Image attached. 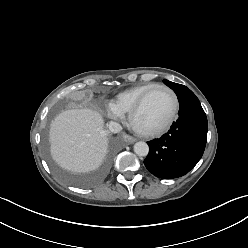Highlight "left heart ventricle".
I'll return each mask as SVG.
<instances>
[{
  "label": "left heart ventricle",
  "instance_id": "obj_1",
  "mask_svg": "<svg viewBox=\"0 0 248 248\" xmlns=\"http://www.w3.org/2000/svg\"><path fill=\"white\" fill-rule=\"evenodd\" d=\"M172 108L171 95L164 89H156L148 96L136 116L135 125L141 130H154L168 120Z\"/></svg>",
  "mask_w": 248,
  "mask_h": 248
}]
</instances>
